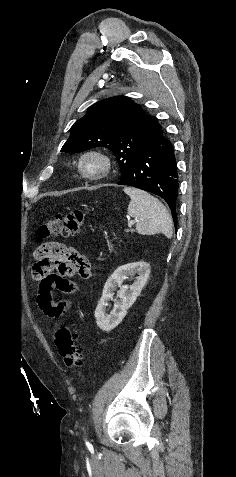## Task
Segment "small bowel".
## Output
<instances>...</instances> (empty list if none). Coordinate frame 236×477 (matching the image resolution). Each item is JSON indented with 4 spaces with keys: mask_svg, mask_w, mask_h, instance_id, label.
<instances>
[{
    "mask_svg": "<svg viewBox=\"0 0 236 477\" xmlns=\"http://www.w3.org/2000/svg\"><path fill=\"white\" fill-rule=\"evenodd\" d=\"M48 245L59 252L42 259L38 266L34 265V277L40 283L36 302L40 311L46 317L56 320L67 313L72 301L70 298H66L56 302L53 298L54 290L67 297L76 294L80 287L69 283L65 278L76 274L88 278L91 276V266L88 260L73 247L57 242H50ZM78 255L82 256L84 262L90 267V274L81 272L82 264L77 260ZM38 272H41V274H38Z\"/></svg>",
    "mask_w": 236,
    "mask_h": 477,
    "instance_id": "obj_1",
    "label": "small bowel"
}]
</instances>
